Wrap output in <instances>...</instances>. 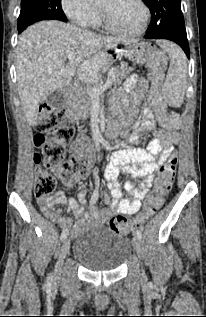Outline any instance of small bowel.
Here are the masks:
<instances>
[{
	"label": "small bowel",
	"instance_id": "c3829d8e",
	"mask_svg": "<svg viewBox=\"0 0 206 317\" xmlns=\"http://www.w3.org/2000/svg\"><path fill=\"white\" fill-rule=\"evenodd\" d=\"M147 96V103L144 100ZM117 117L122 125L127 128L141 113V127L134 135H128L126 131L123 137L128 143L145 136H153L146 149L126 148L117 151L111 158L106 170L105 177L111 197L105 196L104 203L108 206L99 209L97 203L101 198L99 180L95 178V188L87 197V190H81L77 198H68L63 191H57L53 196L38 200V205L43 214L59 225L61 228L70 229L73 236L78 235L86 223L103 224L115 213L133 215L141 207L142 200L146 197L152 186L153 176L172 155L175 153V145L179 141L176 129H170L163 125V119L167 112L166 105L161 97L159 88L150 87L149 82L137 75L129 76L124 84V89L119 93L114 102ZM122 109H126V118L123 119ZM160 123V129L156 121ZM76 143L71 147V153L75 152ZM124 172L133 177L124 185L128 196L125 197L121 190L117 177ZM143 177L144 182L139 178ZM76 181L64 182L65 188H71ZM58 206H65L72 212L76 223L62 215Z\"/></svg>",
	"mask_w": 206,
	"mask_h": 317
}]
</instances>
